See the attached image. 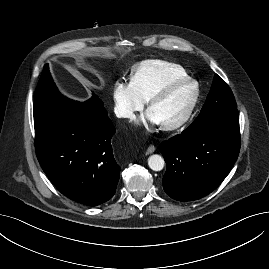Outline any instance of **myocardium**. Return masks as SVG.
<instances>
[{
  "instance_id": "obj_1",
  "label": "myocardium",
  "mask_w": 269,
  "mask_h": 269,
  "mask_svg": "<svg viewBox=\"0 0 269 269\" xmlns=\"http://www.w3.org/2000/svg\"><path fill=\"white\" fill-rule=\"evenodd\" d=\"M192 87L193 92L191 99L189 101V104L184 111L183 115L175 122L161 125V128L165 131H174L182 128L184 125L187 124V122L190 120L191 116L193 115V112L198 104L199 97H200V87L198 83L190 78L179 80L172 82L165 87L158 90L156 93H154L147 101V109L149 110L154 104L161 101L165 97H167L170 93H172L174 90L182 87Z\"/></svg>"
}]
</instances>
